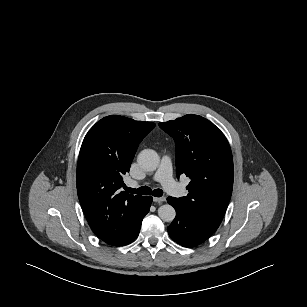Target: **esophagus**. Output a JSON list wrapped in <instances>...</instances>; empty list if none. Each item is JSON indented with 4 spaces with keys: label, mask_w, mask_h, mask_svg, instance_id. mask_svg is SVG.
Returning <instances> with one entry per match:
<instances>
[{
    "label": "esophagus",
    "mask_w": 307,
    "mask_h": 307,
    "mask_svg": "<svg viewBox=\"0 0 307 307\" xmlns=\"http://www.w3.org/2000/svg\"><path fill=\"white\" fill-rule=\"evenodd\" d=\"M153 201L158 202V203H162V202L166 201V198L165 197H153Z\"/></svg>",
    "instance_id": "34e87169"
}]
</instances>
